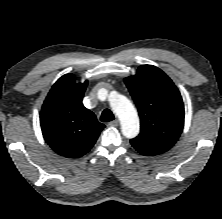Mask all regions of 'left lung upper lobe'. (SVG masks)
Segmentation results:
<instances>
[{
  "label": "left lung upper lobe",
  "instance_id": "left-lung-upper-lobe-1",
  "mask_svg": "<svg viewBox=\"0 0 222 219\" xmlns=\"http://www.w3.org/2000/svg\"><path fill=\"white\" fill-rule=\"evenodd\" d=\"M138 108L140 134L131 143L169 150L184 126V105L172 80L159 68L142 65L136 75L124 79Z\"/></svg>",
  "mask_w": 222,
  "mask_h": 219
}]
</instances>
